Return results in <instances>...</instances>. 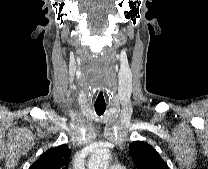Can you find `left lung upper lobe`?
Instances as JSON below:
<instances>
[{"instance_id": "obj_1", "label": "left lung upper lobe", "mask_w": 208, "mask_h": 169, "mask_svg": "<svg viewBox=\"0 0 208 169\" xmlns=\"http://www.w3.org/2000/svg\"><path fill=\"white\" fill-rule=\"evenodd\" d=\"M129 148L137 169H169L167 163L151 145L134 141Z\"/></svg>"}]
</instances>
